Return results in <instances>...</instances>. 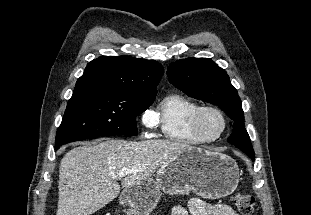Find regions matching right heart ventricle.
<instances>
[{
    "label": "right heart ventricle",
    "mask_w": 311,
    "mask_h": 215,
    "mask_svg": "<svg viewBox=\"0 0 311 215\" xmlns=\"http://www.w3.org/2000/svg\"><path fill=\"white\" fill-rule=\"evenodd\" d=\"M199 107L195 101L172 93L165 96L152 113L164 138L177 143L198 145L206 142L191 128V118Z\"/></svg>",
    "instance_id": "obj_1"
}]
</instances>
